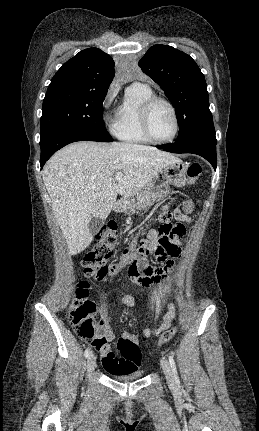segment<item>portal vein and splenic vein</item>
<instances>
[{
  "label": "portal vein and splenic vein",
  "instance_id": "portal-vein-and-splenic-vein-1",
  "mask_svg": "<svg viewBox=\"0 0 259 431\" xmlns=\"http://www.w3.org/2000/svg\"><path fill=\"white\" fill-rule=\"evenodd\" d=\"M122 177H123V173H122V172H117V173L115 174L114 179H115V180H120Z\"/></svg>",
  "mask_w": 259,
  "mask_h": 431
}]
</instances>
